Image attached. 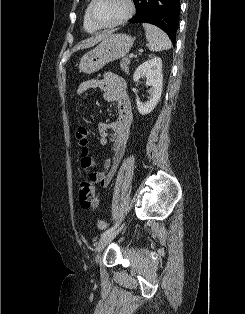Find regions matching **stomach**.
<instances>
[{"label":"stomach","mask_w":245,"mask_h":314,"mask_svg":"<svg viewBox=\"0 0 245 314\" xmlns=\"http://www.w3.org/2000/svg\"><path fill=\"white\" fill-rule=\"evenodd\" d=\"M134 39L127 34H111L87 52L80 61L79 69L86 74L98 72L107 63L124 57L133 46Z\"/></svg>","instance_id":"1"}]
</instances>
